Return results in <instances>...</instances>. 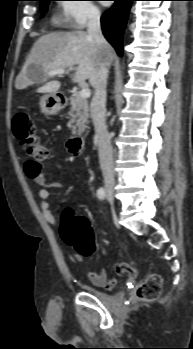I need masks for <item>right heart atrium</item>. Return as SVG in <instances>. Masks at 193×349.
<instances>
[{"instance_id":"obj_1","label":"right heart atrium","mask_w":193,"mask_h":349,"mask_svg":"<svg viewBox=\"0 0 193 349\" xmlns=\"http://www.w3.org/2000/svg\"><path fill=\"white\" fill-rule=\"evenodd\" d=\"M61 10L67 25L76 29L84 28L101 16L99 7L91 0H63Z\"/></svg>"}]
</instances>
